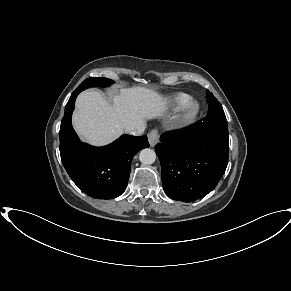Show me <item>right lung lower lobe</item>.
<instances>
[{
	"mask_svg": "<svg viewBox=\"0 0 291 291\" xmlns=\"http://www.w3.org/2000/svg\"><path fill=\"white\" fill-rule=\"evenodd\" d=\"M80 92L77 88L65 106L59 132L62 163L73 182L87 195L96 199L118 197L127 187L134 155L149 147L148 139L145 135H122L103 147L80 142L71 124Z\"/></svg>",
	"mask_w": 291,
	"mask_h": 291,
	"instance_id": "obj_1",
	"label": "right lung lower lobe"
}]
</instances>
